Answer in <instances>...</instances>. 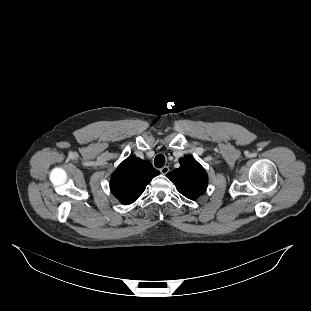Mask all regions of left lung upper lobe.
I'll return each instance as SVG.
<instances>
[{
    "label": "left lung upper lobe",
    "instance_id": "obj_1",
    "mask_svg": "<svg viewBox=\"0 0 311 311\" xmlns=\"http://www.w3.org/2000/svg\"><path fill=\"white\" fill-rule=\"evenodd\" d=\"M177 190L185 197L195 200L202 195L208 183V177L203 167L190 156L180 160V167L166 175Z\"/></svg>",
    "mask_w": 311,
    "mask_h": 311
}]
</instances>
